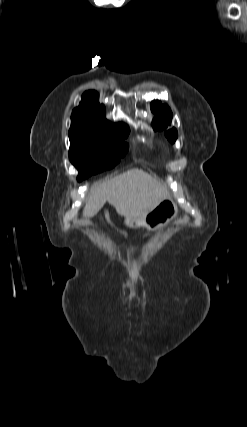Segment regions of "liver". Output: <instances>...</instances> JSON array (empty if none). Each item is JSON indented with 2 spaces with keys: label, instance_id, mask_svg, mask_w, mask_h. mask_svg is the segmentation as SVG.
I'll use <instances>...</instances> for the list:
<instances>
[{
  "label": "liver",
  "instance_id": "6515ba94",
  "mask_svg": "<svg viewBox=\"0 0 247 427\" xmlns=\"http://www.w3.org/2000/svg\"><path fill=\"white\" fill-rule=\"evenodd\" d=\"M169 196L164 185L147 172L134 168L94 184L85 203L83 216L93 217L108 202L125 219L142 217Z\"/></svg>",
  "mask_w": 247,
  "mask_h": 427
}]
</instances>
